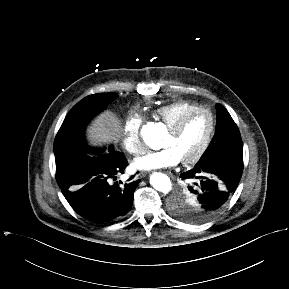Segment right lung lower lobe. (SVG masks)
Instances as JSON below:
<instances>
[{"label":"right lung lower lobe","mask_w":289,"mask_h":289,"mask_svg":"<svg viewBox=\"0 0 289 289\" xmlns=\"http://www.w3.org/2000/svg\"><path fill=\"white\" fill-rule=\"evenodd\" d=\"M128 165L122 153L110 150L95 156L82 151L56 160V179L71 207L95 223L122 219L131 209L140 182L110 184Z\"/></svg>","instance_id":"98d812e1"}]
</instances>
